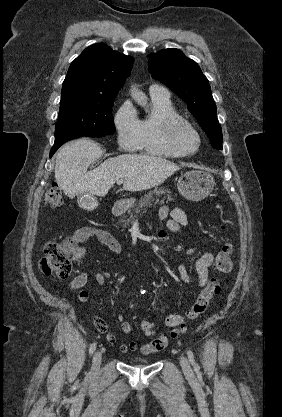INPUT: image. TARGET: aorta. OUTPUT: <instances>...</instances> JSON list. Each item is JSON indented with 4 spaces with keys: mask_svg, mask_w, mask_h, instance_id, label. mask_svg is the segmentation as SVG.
Instances as JSON below:
<instances>
[{
    "mask_svg": "<svg viewBox=\"0 0 282 417\" xmlns=\"http://www.w3.org/2000/svg\"><path fill=\"white\" fill-rule=\"evenodd\" d=\"M130 94L133 100L137 102V104H141V106H148V98L145 92H142V90H139V88H137V84H132L130 88Z\"/></svg>",
    "mask_w": 282,
    "mask_h": 417,
    "instance_id": "762f6f07",
    "label": "aorta"
}]
</instances>
